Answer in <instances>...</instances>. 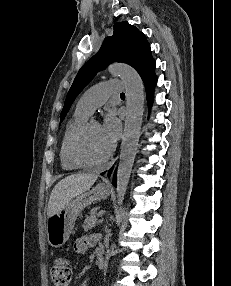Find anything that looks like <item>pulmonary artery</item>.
Instances as JSON below:
<instances>
[{"instance_id": "pulmonary-artery-1", "label": "pulmonary artery", "mask_w": 231, "mask_h": 286, "mask_svg": "<svg viewBox=\"0 0 231 286\" xmlns=\"http://www.w3.org/2000/svg\"><path fill=\"white\" fill-rule=\"evenodd\" d=\"M124 89L121 80L113 79L101 82L87 90L79 99L77 109L91 115L112 94H118Z\"/></svg>"}]
</instances>
